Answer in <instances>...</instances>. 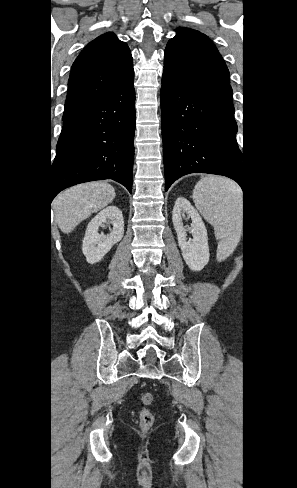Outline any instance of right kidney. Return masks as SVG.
<instances>
[{
	"instance_id": "ca27d5eb",
	"label": "right kidney",
	"mask_w": 297,
	"mask_h": 488,
	"mask_svg": "<svg viewBox=\"0 0 297 488\" xmlns=\"http://www.w3.org/2000/svg\"><path fill=\"white\" fill-rule=\"evenodd\" d=\"M110 220L113 229L107 235L99 233V227ZM124 235V220L121 210L116 206H108L100 211L88 224L83 239L82 252L87 262L95 264L120 242Z\"/></svg>"
}]
</instances>
